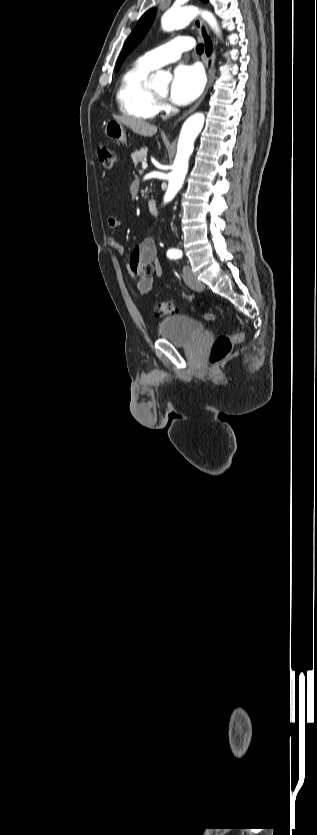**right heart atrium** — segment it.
Returning a JSON list of instances; mask_svg holds the SVG:
<instances>
[{
    "instance_id": "d8ad5b80",
    "label": "right heart atrium",
    "mask_w": 317,
    "mask_h": 835,
    "mask_svg": "<svg viewBox=\"0 0 317 835\" xmlns=\"http://www.w3.org/2000/svg\"><path fill=\"white\" fill-rule=\"evenodd\" d=\"M159 108H160L161 110L165 109V108H166V104H165V103H163V102H159Z\"/></svg>"
}]
</instances>
